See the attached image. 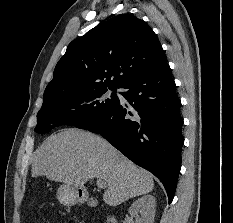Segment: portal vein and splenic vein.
Listing matches in <instances>:
<instances>
[{"label": "portal vein and splenic vein", "mask_w": 233, "mask_h": 223, "mask_svg": "<svg viewBox=\"0 0 233 223\" xmlns=\"http://www.w3.org/2000/svg\"><path fill=\"white\" fill-rule=\"evenodd\" d=\"M96 183H97L98 187H106L105 179H100V177H99V179H96Z\"/></svg>", "instance_id": "obj_1"}]
</instances>
